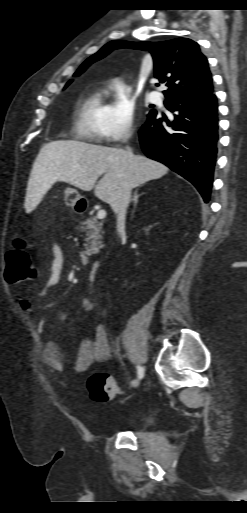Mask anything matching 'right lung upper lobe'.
I'll use <instances>...</instances> for the list:
<instances>
[{
  "mask_svg": "<svg viewBox=\"0 0 247 513\" xmlns=\"http://www.w3.org/2000/svg\"><path fill=\"white\" fill-rule=\"evenodd\" d=\"M124 47L147 50L152 54L155 78L168 87L163 91L166 98L207 96L214 91L207 58L199 45L187 38L157 43L114 40L89 57L74 75L81 74L113 49Z\"/></svg>",
  "mask_w": 247,
  "mask_h": 513,
  "instance_id": "1",
  "label": "right lung upper lobe"
}]
</instances>
